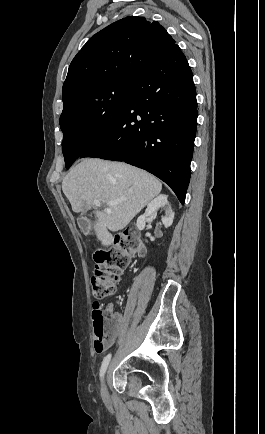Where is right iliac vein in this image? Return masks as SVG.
I'll return each instance as SVG.
<instances>
[{
  "mask_svg": "<svg viewBox=\"0 0 265 434\" xmlns=\"http://www.w3.org/2000/svg\"><path fill=\"white\" fill-rule=\"evenodd\" d=\"M101 396H102L103 400L106 401L109 405L110 402H109V394H108L107 386H106V376L103 378L102 383H101Z\"/></svg>",
  "mask_w": 265,
  "mask_h": 434,
  "instance_id": "1",
  "label": "right iliac vein"
}]
</instances>
